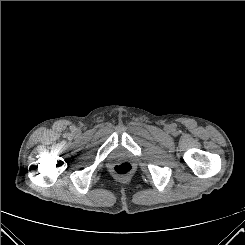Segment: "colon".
Instances as JSON below:
<instances>
[{"label": "colon", "instance_id": "1", "mask_svg": "<svg viewBox=\"0 0 245 245\" xmlns=\"http://www.w3.org/2000/svg\"><path fill=\"white\" fill-rule=\"evenodd\" d=\"M133 167L128 162H122L115 165L113 171L118 177H127L132 173Z\"/></svg>", "mask_w": 245, "mask_h": 245}]
</instances>
